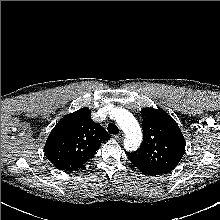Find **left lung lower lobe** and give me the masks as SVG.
Returning a JSON list of instances; mask_svg holds the SVG:
<instances>
[{
  "mask_svg": "<svg viewBox=\"0 0 220 220\" xmlns=\"http://www.w3.org/2000/svg\"><path fill=\"white\" fill-rule=\"evenodd\" d=\"M130 161L139 169L141 170L143 173L148 174V175H159L158 173H156L154 170L149 169L148 167H146L145 165L136 162L132 159H130Z\"/></svg>",
  "mask_w": 220,
  "mask_h": 220,
  "instance_id": "obj_1",
  "label": "left lung lower lobe"
}]
</instances>
